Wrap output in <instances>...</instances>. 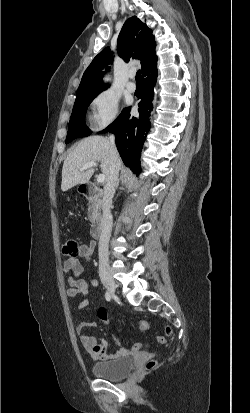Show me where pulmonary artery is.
<instances>
[{
	"label": "pulmonary artery",
	"instance_id": "e3ab8cb5",
	"mask_svg": "<svg viewBox=\"0 0 250 413\" xmlns=\"http://www.w3.org/2000/svg\"><path fill=\"white\" fill-rule=\"evenodd\" d=\"M134 76H135L134 72H130L129 75H128L129 80H128V82L126 83V88H127V90L130 91V92H134V91L136 90V84H135V82L133 81Z\"/></svg>",
	"mask_w": 250,
	"mask_h": 413
}]
</instances>
